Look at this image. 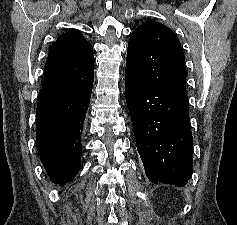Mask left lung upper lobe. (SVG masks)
Listing matches in <instances>:
<instances>
[{"label":"left lung upper lobe","instance_id":"obj_1","mask_svg":"<svg viewBox=\"0 0 237 225\" xmlns=\"http://www.w3.org/2000/svg\"><path fill=\"white\" fill-rule=\"evenodd\" d=\"M126 72L146 86L186 90V66L180 41L165 25L148 19L128 42Z\"/></svg>","mask_w":237,"mask_h":225}]
</instances>
